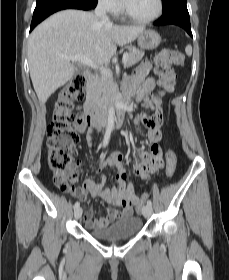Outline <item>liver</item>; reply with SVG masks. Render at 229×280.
<instances>
[{"instance_id":"6515ba94","label":"liver","mask_w":229,"mask_h":280,"mask_svg":"<svg viewBox=\"0 0 229 280\" xmlns=\"http://www.w3.org/2000/svg\"><path fill=\"white\" fill-rule=\"evenodd\" d=\"M143 27L102 22L96 15L80 10L57 12L38 25L28 42V62L34 90L41 103L77 71L66 56H85L97 64L110 61L117 45L134 41Z\"/></svg>"}]
</instances>
